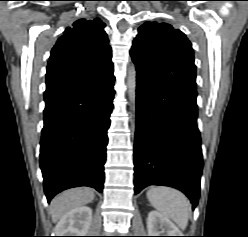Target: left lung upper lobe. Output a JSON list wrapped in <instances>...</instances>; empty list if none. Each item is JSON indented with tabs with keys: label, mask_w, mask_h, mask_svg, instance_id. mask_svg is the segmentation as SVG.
I'll use <instances>...</instances> for the list:
<instances>
[{
	"label": "left lung upper lobe",
	"mask_w": 248,
	"mask_h": 237,
	"mask_svg": "<svg viewBox=\"0 0 248 237\" xmlns=\"http://www.w3.org/2000/svg\"><path fill=\"white\" fill-rule=\"evenodd\" d=\"M130 55L139 72L167 86L196 90L192 45L184 33L171 25L144 23Z\"/></svg>",
	"instance_id": "1"
}]
</instances>
